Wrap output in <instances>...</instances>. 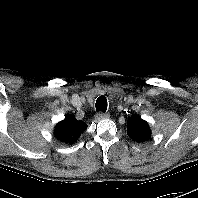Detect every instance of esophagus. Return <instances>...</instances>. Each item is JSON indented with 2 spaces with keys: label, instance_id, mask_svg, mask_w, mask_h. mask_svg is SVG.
I'll return each instance as SVG.
<instances>
[{
  "label": "esophagus",
  "instance_id": "esophagus-1",
  "mask_svg": "<svg viewBox=\"0 0 198 198\" xmlns=\"http://www.w3.org/2000/svg\"><path fill=\"white\" fill-rule=\"evenodd\" d=\"M110 117L109 113H103V112H99L95 115V119L97 120H104V119H108Z\"/></svg>",
  "mask_w": 198,
  "mask_h": 198
}]
</instances>
